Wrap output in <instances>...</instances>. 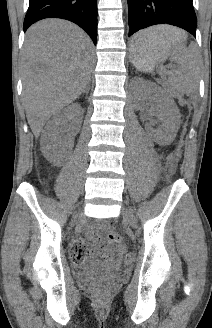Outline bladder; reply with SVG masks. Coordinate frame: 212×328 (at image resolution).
Here are the masks:
<instances>
[{"instance_id":"1","label":"bladder","mask_w":212,"mask_h":328,"mask_svg":"<svg viewBox=\"0 0 212 328\" xmlns=\"http://www.w3.org/2000/svg\"><path fill=\"white\" fill-rule=\"evenodd\" d=\"M103 276V273L96 270L94 264L90 261L81 265V270L77 272L76 278L81 282H91Z\"/></svg>"}]
</instances>
